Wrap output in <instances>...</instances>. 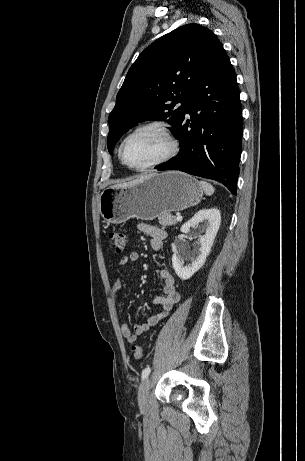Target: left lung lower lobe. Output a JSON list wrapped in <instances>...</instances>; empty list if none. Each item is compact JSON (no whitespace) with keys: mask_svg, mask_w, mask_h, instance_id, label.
Wrapping results in <instances>:
<instances>
[{"mask_svg":"<svg viewBox=\"0 0 305 461\" xmlns=\"http://www.w3.org/2000/svg\"><path fill=\"white\" fill-rule=\"evenodd\" d=\"M242 109L236 75L223 49L188 98L173 135L180 151L157 170H180L214 179L236 195L242 149Z\"/></svg>","mask_w":305,"mask_h":461,"instance_id":"0a47b994","label":"left lung lower lobe"}]
</instances>
